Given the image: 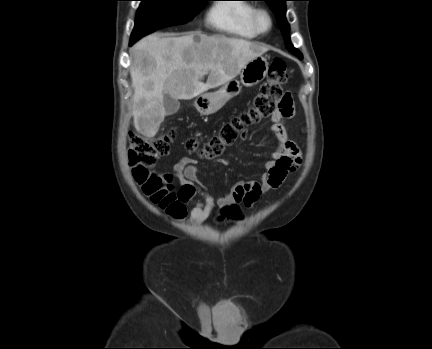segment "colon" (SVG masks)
Returning a JSON list of instances; mask_svg holds the SVG:
<instances>
[{
    "instance_id": "colon-1",
    "label": "colon",
    "mask_w": 432,
    "mask_h": 349,
    "mask_svg": "<svg viewBox=\"0 0 432 349\" xmlns=\"http://www.w3.org/2000/svg\"><path fill=\"white\" fill-rule=\"evenodd\" d=\"M287 81L286 63L274 59L269 67L266 81L251 106L225 123L219 132L201 145L195 138L186 141V149L197 153L206 160L219 158L225 149L244 135L247 126L256 124L276 112L287 114L292 107V97L283 89ZM175 139V131L168 130L156 137L147 138L140 134L129 136L128 158L135 181L152 202L173 215L184 211L177 193L174 191L172 176L154 169L158 159L168 154ZM229 215L238 216L235 205L227 206Z\"/></svg>"
}]
</instances>
